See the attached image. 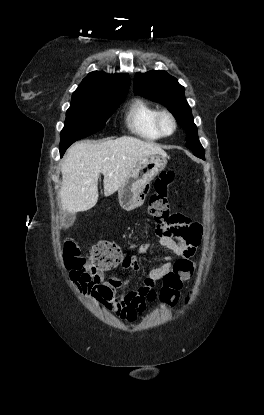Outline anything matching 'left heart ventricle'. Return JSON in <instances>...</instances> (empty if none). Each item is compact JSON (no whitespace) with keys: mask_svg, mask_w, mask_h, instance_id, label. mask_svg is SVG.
Returning a JSON list of instances; mask_svg holds the SVG:
<instances>
[{"mask_svg":"<svg viewBox=\"0 0 264 415\" xmlns=\"http://www.w3.org/2000/svg\"><path fill=\"white\" fill-rule=\"evenodd\" d=\"M162 128L166 132H170L172 130V123L168 117H164L162 119Z\"/></svg>","mask_w":264,"mask_h":415,"instance_id":"1","label":"left heart ventricle"}]
</instances>
